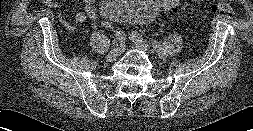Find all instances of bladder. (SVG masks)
Segmentation results:
<instances>
[{"mask_svg": "<svg viewBox=\"0 0 253 131\" xmlns=\"http://www.w3.org/2000/svg\"><path fill=\"white\" fill-rule=\"evenodd\" d=\"M101 12L110 22H140L156 17L159 8L154 0H103Z\"/></svg>", "mask_w": 253, "mask_h": 131, "instance_id": "bladder-1", "label": "bladder"}]
</instances>
